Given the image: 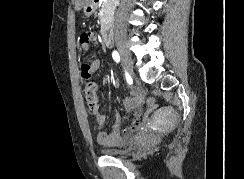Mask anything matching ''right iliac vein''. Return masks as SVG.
I'll return each mask as SVG.
<instances>
[{"label":"right iliac vein","mask_w":244,"mask_h":179,"mask_svg":"<svg viewBox=\"0 0 244 179\" xmlns=\"http://www.w3.org/2000/svg\"><path fill=\"white\" fill-rule=\"evenodd\" d=\"M117 49L120 54L121 62L123 63L126 71L130 75H133V64L128 50L125 48L123 44H118Z\"/></svg>","instance_id":"1"}]
</instances>
